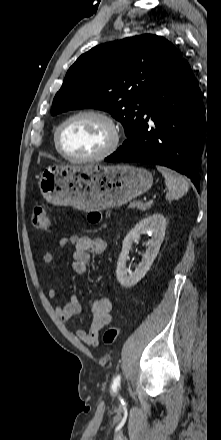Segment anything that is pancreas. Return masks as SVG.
<instances>
[{
    "label": "pancreas",
    "instance_id": "pancreas-1",
    "mask_svg": "<svg viewBox=\"0 0 221 440\" xmlns=\"http://www.w3.org/2000/svg\"><path fill=\"white\" fill-rule=\"evenodd\" d=\"M152 206V203H143L141 201H134L129 205V208H137L140 211H146L147 209H150Z\"/></svg>",
    "mask_w": 221,
    "mask_h": 440
}]
</instances>
